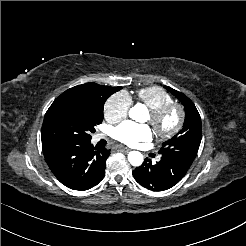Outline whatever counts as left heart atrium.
Returning <instances> with one entry per match:
<instances>
[{
    "label": "left heart atrium",
    "mask_w": 246,
    "mask_h": 246,
    "mask_svg": "<svg viewBox=\"0 0 246 246\" xmlns=\"http://www.w3.org/2000/svg\"><path fill=\"white\" fill-rule=\"evenodd\" d=\"M114 137L127 145H136L152 137V130L147 125L127 121L114 129Z\"/></svg>",
    "instance_id": "left-heart-atrium-1"
}]
</instances>
